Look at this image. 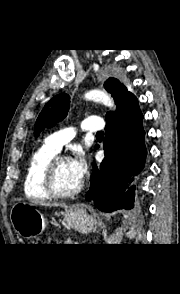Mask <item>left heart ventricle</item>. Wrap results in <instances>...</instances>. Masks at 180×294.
Listing matches in <instances>:
<instances>
[{"label":"left heart ventricle","instance_id":"left-heart-ventricle-1","mask_svg":"<svg viewBox=\"0 0 180 294\" xmlns=\"http://www.w3.org/2000/svg\"><path fill=\"white\" fill-rule=\"evenodd\" d=\"M55 182L57 189L61 192L73 191L80 185L71 170L69 161H63L58 165Z\"/></svg>","mask_w":180,"mask_h":294}]
</instances>
